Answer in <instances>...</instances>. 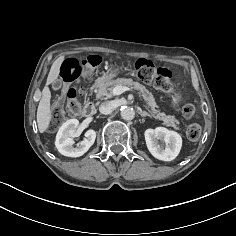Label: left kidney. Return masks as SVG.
Segmentation results:
<instances>
[{
  "mask_svg": "<svg viewBox=\"0 0 236 236\" xmlns=\"http://www.w3.org/2000/svg\"><path fill=\"white\" fill-rule=\"evenodd\" d=\"M144 135L148 150L159 160L171 161L177 157L181 150L182 138L175 131L157 127L147 129Z\"/></svg>",
  "mask_w": 236,
  "mask_h": 236,
  "instance_id": "obj_1",
  "label": "left kidney"
}]
</instances>
